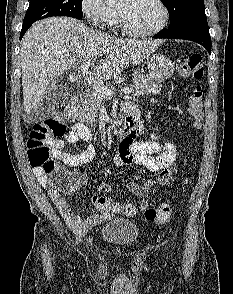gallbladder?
<instances>
[{"instance_id":"1","label":"gallbladder","mask_w":233,"mask_h":294,"mask_svg":"<svg viewBox=\"0 0 233 294\" xmlns=\"http://www.w3.org/2000/svg\"><path fill=\"white\" fill-rule=\"evenodd\" d=\"M68 90L65 85L56 81L50 84L44 94L43 100L39 106L36 120H42L49 117L59 106H62L68 98Z\"/></svg>"}]
</instances>
